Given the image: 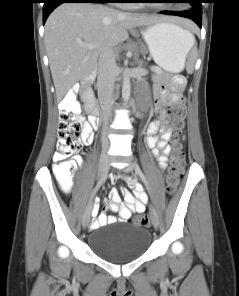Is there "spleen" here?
I'll use <instances>...</instances> for the list:
<instances>
[{
  "label": "spleen",
  "mask_w": 239,
  "mask_h": 296,
  "mask_svg": "<svg viewBox=\"0 0 239 296\" xmlns=\"http://www.w3.org/2000/svg\"><path fill=\"white\" fill-rule=\"evenodd\" d=\"M190 39H191V42H192V46H193V44H194V36L191 34L190 35ZM191 46V47H192ZM190 50V49H189ZM193 60H191L189 63H188V66H187V71L189 72V73H191L192 72V70H193Z\"/></svg>",
  "instance_id": "1"
}]
</instances>
